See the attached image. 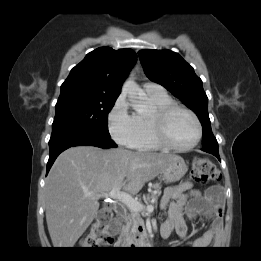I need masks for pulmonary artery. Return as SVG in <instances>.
I'll return each mask as SVG.
<instances>
[{
    "label": "pulmonary artery",
    "instance_id": "1",
    "mask_svg": "<svg viewBox=\"0 0 261 261\" xmlns=\"http://www.w3.org/2000/svg\"><path fill=\"white\" fill-rule=\"evenodd\" d=\"M143 88L148 93H162L164 89L161 85L154 82H145Z\"/></svg>",
    "mask_w": 261,
    "mask_h": 261
}]
</instances>
